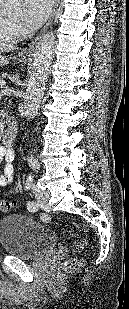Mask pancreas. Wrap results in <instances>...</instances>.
<instances>
[{
    "mask_svg": "<svg viewBox=\"0 0 129 309\" xmlns=\"http://www.w3.org/2000/svg\"><path fill=\"white\" fill-rule=\"evenodd\" d=\"M3 77H4V75H2V77H0V82L4 81Z\"/></svg>",
    "mask_w": 129,
    "mask_h": 309,
    "instance_id": "1",
    "label": "pancreas"
}]
</instances>
